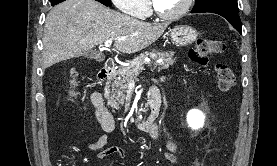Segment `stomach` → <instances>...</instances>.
Wrapping results in <instances>:
<instances>
[{"label": "stomach", "mask_w": 277, "mask_h": 166, "mask_svg": "<svg viewBox=\"0 0 277 166\" xmlns=\"http://www.w3.org/2000/svg\"><path fill=\"white\" fill-rule=\"evenodd\" d=\"M171 41L177 46H188L194 43L198 38V32L189 25H178L170 34Z\"/></svg>", "instance_id": "stomach-1"}]
</instances>
